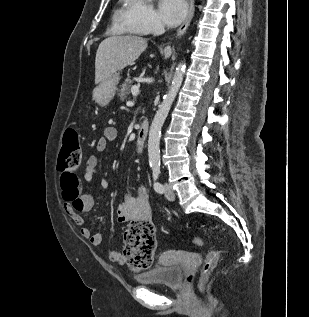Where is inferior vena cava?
<instances>
[{"label":"inferior vena cava","instance_id":"obj_1","mask_svg":"<svg viewBox=\"0 0 309 317\" xmlns=\"http://www.w3.org/2000/svg\"><path fill=\"white\" fill-rule=\"evenodd\" d=\"M164 26L162 23L158 22L155 25V29H154V35H160L162 33H164Z\"/></svg>","mask_w":309,"mask_h":317}]
</instances>
